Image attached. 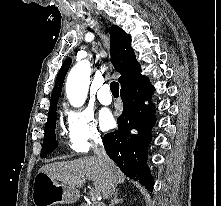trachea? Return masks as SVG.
Masks as SVG:
<instances>
[{
	"label": "trachea",
	"mask_w": 221,
	"mask_h": 206,
	"mask_svg": "<svg viewBox=\"0 0 221 206\" xmlns=\"http://www.w3.org/2000/svg\"><path fill=\"white\" fill-rule=\"evenodd\" d=\"M111 92L113 96H119V84L115 81L111 82Z\"/></svg>",
	"instance_id": "1"
}]
</instances>
